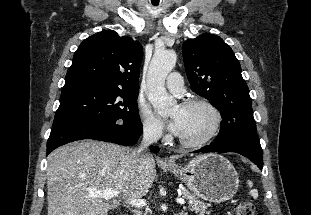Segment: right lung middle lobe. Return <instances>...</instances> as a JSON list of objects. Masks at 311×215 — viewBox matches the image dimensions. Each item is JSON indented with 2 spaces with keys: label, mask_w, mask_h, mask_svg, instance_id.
<instances>
[{
  "label": "right lung middle lobe",
  "mask_w": 311,
  "mask_h": 215,
  "mask_svg": "<svg viewBox=\"0 0 311 215\" xmlns=\"http://www.w3.org/2000/svg\"><path fill=\"white\" fill-rule=\"evenodd\" d=\"M138 91L96 84L64 86L53 126L65 122L129 125L140 120Z\"/></svg>",
  "instance_id": "right-lung-middle-lobe-1"
}]
</instances>
